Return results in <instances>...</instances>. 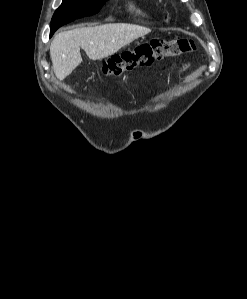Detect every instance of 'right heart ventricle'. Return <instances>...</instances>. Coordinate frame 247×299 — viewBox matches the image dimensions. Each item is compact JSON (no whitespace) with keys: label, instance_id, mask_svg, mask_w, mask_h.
<instances>
[{"label":"right heart ventricle","instance_id":"1","mask_svg":"<svg viewBox=\"0 0 247 299\" xmlns=\"http://www.w3.org/2000/svg\"><path fill=\"white\" fill-rule=\"evenodd\" d=\"M132 8L136 11V13H138L142 17L150 18V15H148L146 12L142 11L141 9H138V8H136L134 6H132Z\"/></svg>","mask_w":247,"mask_h":299}]
</instances>
